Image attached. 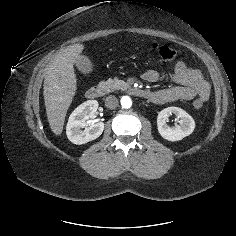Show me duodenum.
<instances>
[{
  "instance_id": "410a0bca",
  "label": "duodenum",
  "mask_w": 236,
  "mask_h": 236,
  "mask_svg": "<svg viewBox=\"0 0 236 236\" xmlns=\"http://www.w3.org/2000/svg\"><path fill=\"white\" fill-rule=\"evenodd\" d=\"M128 90L132 94L140 96V97H147L149 94L147 90L134 87V86H130ZM104 91H105V87L102 85L92 86L86 91V97L90 100H94L101 97Z\"/></svg>"
}]
</instances>
